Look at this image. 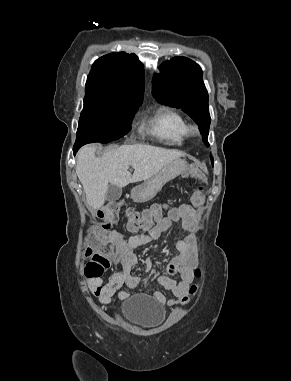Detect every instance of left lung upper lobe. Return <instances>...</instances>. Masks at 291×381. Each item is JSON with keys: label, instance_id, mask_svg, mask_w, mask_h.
<instances>
[{"label": "left lung upper lobe", "instance_id": "1", "mask_svg": "<svg viewBox=\"0 0 291 381\" xmlns=\"http://www.w3.org/2000/svg\"><path fill=\"white\" fill-rule=\"evenodd\" d=\"M153 80V96L160 102L181 108L198 124L207 147L210 126L208 93L202 70L186 57H174L160 67ZM213 164V159L211 158Z\"/></svg>", "mask_w": 291, "mask_h": 381}]
</instances>
